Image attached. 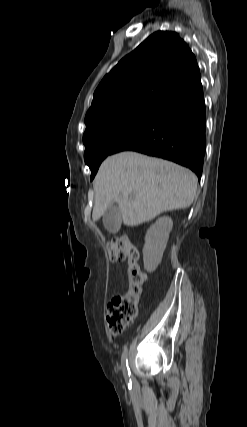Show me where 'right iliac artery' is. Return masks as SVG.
I'll use <instances>...</instances> for the list:
<instances>
[{"instance_id": "obj_1", "label": "right iliac artery", "mask_w": 247, "mask_h": 427, "mask_svg": "<svg viewBox=\"0 0 247 427\" xmlns=\"http://www.w3.org/2000/svg\"><path fill=\"white\" fill-rule=\"evenodd\" d=\"M121 367H122L125 379L127 381H130V375H131V373H130V369H129V366H128L127 348H124V351L122 353Z\"/></svg>"}]
</instances>
